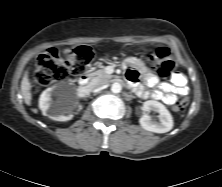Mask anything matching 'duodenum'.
Masks as SVG:
<instances>
[{"mask_svg":"<svg viewBox=\"0 0 222 187\" xmlns=\"http://www.w3.org/2000/svg\"><path fill=\"white\" fill-rule=\"evenodd\" d=\"M89 80H90V75L85 74L81 76L79 81L81 95H87L88 92L90 91Z\"/></svg>","mask_w":222,"mask_h":187,"instance_id":"obj_1","label":"duodenum"}]
</instances>
